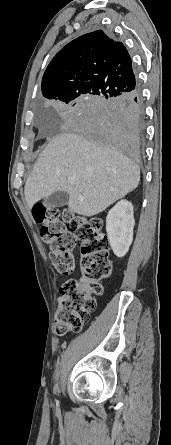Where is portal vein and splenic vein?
Segmentation results:
<instances>
[{
	"instance_id": "18ae733b",
	"label": "portal vein and splenic vein",
	"mask_w": 171,
	"mask_h": 445,
	"mask_svg": "<svg viewBox=\"0 0 171 445\" xmlns=\"http://www.w3.org/2000/svg\"><path fill=\"white\" fill-rule=\"evenodd\" d=\"M68 182L71 184H74L75 180H74V178H68Z\"/></svg>"
}]
</instances>
